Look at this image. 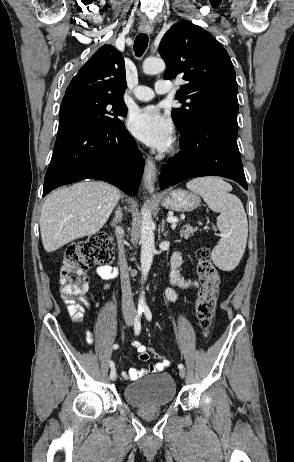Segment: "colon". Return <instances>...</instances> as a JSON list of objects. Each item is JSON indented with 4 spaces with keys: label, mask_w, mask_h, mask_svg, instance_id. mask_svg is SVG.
<instances>
[{
    "label": "colon",
    "mask_w": 294,
    "mask_h": 462,
    "mask_svg": "<svg viewBox=\"0 0 294 462\" xmlns=\"http://www.w3.org/2000/svg\"><path fill=\"white\" fill-rule=\"evenodd\" d=\"M110 243L111 237L108 234H97L70 246L65 252L60 271V289L74 319L82 316V307L76 300L88 287L87 271L96 265H109L113 260ZM196 256L200 280L196 316L206 336L213 322L220 279L207 248H200ZM149 353L154 358H159L155 350L150 349Z\"/></svg>",
    "instance_id": "1"
}]
</instances>
